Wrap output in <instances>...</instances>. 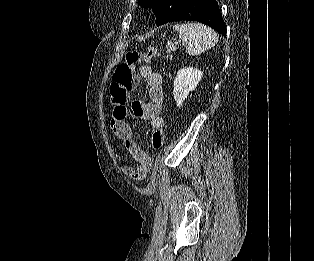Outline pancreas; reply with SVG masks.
Wrapping results in <instances>:
<instances>
[{"label": "pancreas", "instance_id": "obj_1", "mask_svg": "<svg viewBox=\"0 0 314 261\" xmlns=\"http://www.w3.org/2000/svg\"><path fill=\"white\" fill-rule=\"evenodd\" d=\"M166 49L170 53L171 51H176V46L172 42H167ZM167 58H170V56L168 55Z\"/></svg>", "mask_w": 314, "mask_h": 261}]
</instances>
